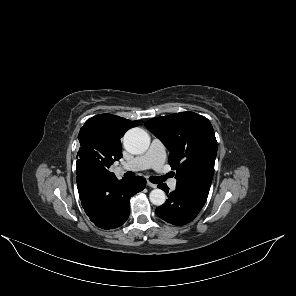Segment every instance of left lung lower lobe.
Segmentation results:
<instances>
[{
  "label": "left lung lower lobe",
  "instance_id": "obj_1",
  "mask_svg": "<svg viewBox=\"0 0 296 296\" xmlns=\"http://www.w3.org/2000/svg\"><path fill=\"white\" fill-rule=\"evenodd\" d=\"M158 187L168 194V199L156 208V213L161 219L174 225L191 222L204 206L210 189L176 186V190L169 193L166 184H159Z\"/></svg>",
  "mask_w": 296,
  "mask_h": 296
}]
</instances>
